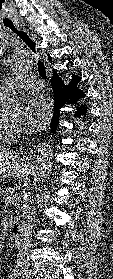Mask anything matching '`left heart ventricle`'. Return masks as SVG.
<instances>
[{"mask_svg":"<svg viewBox=\"0 0 113 279\" xmlns=\"http://www.w3.org/2000/svg\"><path fill=\"white\" fill-rule=\"evenodd\" d=\"M21 118H22V113H19L17 115H13V116L10 117V119L12 121L17 122V123L21 120Z\"/></svg>","mask_w":113,"mask_h":279,"instance_id":"1","label":"left heart ventricle"}]
</instances>
